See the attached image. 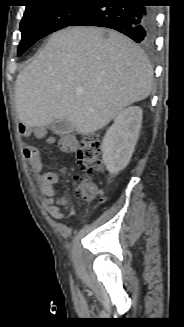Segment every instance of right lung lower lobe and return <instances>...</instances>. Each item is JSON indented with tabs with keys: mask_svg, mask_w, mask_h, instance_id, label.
Instances as JSON below:
<instances>
[{
	"mask_svg": "<svg viewBox=\"0 0 184 327\" xmlns=\"http://www.w3.org/2000/svg\"><path fill=\"white\" fill-rule=\"evenodd\" d=\"M108 3V0H96L92 7L71 25L107 27L138 43H153L156 20L151 7L136 4L143 3L137 0H117L112 5Z\"/></svg>",
	"mask_w": 184,
	"mask_h": 327,
	"instance_id": "obj_1",
	"label": "right lung lower lobe"
}]
</instances>
